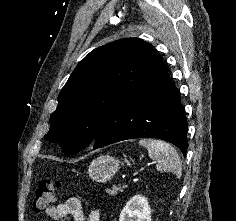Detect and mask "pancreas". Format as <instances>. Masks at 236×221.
Here are the masks:
<instances>
[{
    "instance_id": "cf45deb5",
    "label": "pancreas",
    "mask_w": 236,
    "mask_h": 221,
    "mask_svg": "<svg viewBox=\"0 0 236 221\" xmlns=\"http://www.w3.org/2000/svg\"><path fill=\"white\" fill-rule=\"evenodd\" d=\"M118 191H122V189L119 188V187L114 186L112 189H108L107 193L109 195L115 196V195H117Z\"/></svg>"
}]
</instances>
